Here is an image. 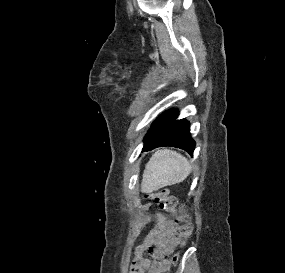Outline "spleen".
<instances>
[{
	"mask_svg": "<svg viewBox=\"0 0 285 273\" xmlns=\"http://www.w3.org/2000/svg\"><path fill=\"white\" fill-rule=\"evenodd\" d=\"M191 171V165L183 155L167 149L159 150L145 166L141 188L144 192H153L180 183Z\"/></svg>",
	"mask_w": 285,
	"mask_h": 273,
	"instance_id": "3e777b00",
	"label": "spleen"
}]
</instances>
